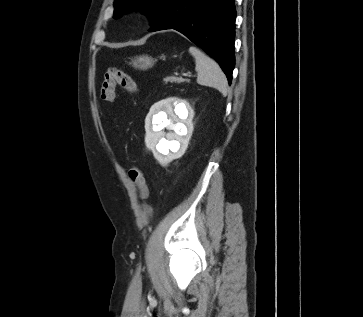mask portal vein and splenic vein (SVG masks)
Segmentation results:
<instances>
[{
	"label": "portal vein and splenic vein",
	"mask_w": 363,
	"mask_h": 317,
	"mask_svg": "<svg viewBox=\"0 0 363 317\" xmlns=\"http://www.w3.org/2000/svg\"><path fill=\"white\" fill-rule=\"evenodd\" d=\"M182 76H184V77H191V73H183Z\"/></svg>",
	"instance_id": "obj_1"
}]
</instances>
